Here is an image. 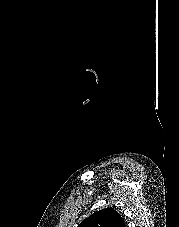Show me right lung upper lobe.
Segmentation results:
<instances>
[{
    "label": "right lung upper lobe",
    "mask_w": 179,
    "mask_h": 227,
    "mask_svg": "<svg viewBox=\"0 0 179 227\" xmlns=\"http://www.w3.org/2000/svg\"><path fill=\"white\" fill-rule=\"evenodd\" d=\"M78 227H126L121 215L113 208L99 210L85 220Z\"/></svg>",
    "instance_id": "1"
}]
</instances>
